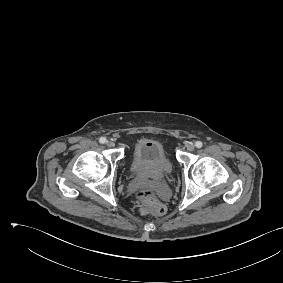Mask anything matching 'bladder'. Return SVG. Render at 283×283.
I'll return each instance as SVG.
<instances>
[{
    "label": "bladder",
    "mask_w": 283,
    "mask_h": 283,
    "mask_svg": "<svg viewBox=\"0 0 283 283\" xmlns=\"http://www.w3.org/2000/svg\"><path fill=\"white\" fill-rule=\"evenodd\" d=\"M131 170L137 177L158 178L171 172L172 163L162 143L141 139L133 148Z\"/></svg>",
    "instance_id": "31cf9c89"
}]
</instances>
